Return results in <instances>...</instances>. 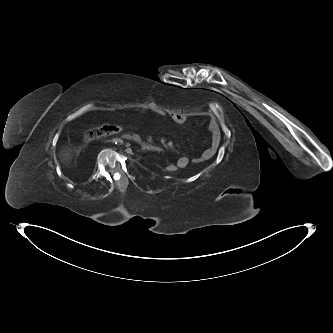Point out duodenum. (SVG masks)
Masks as SVG:
<instances>
[{"label":"duodenum","mask_w":333,"mask_h":333,"mask_svg":"<svg viewBox=\"0 0 333 333\" xmlns=\"http://www.w3.org/2000/svg\"><path fill=\"white\" fill-rule=\"evenodd\" d=\"M123 136L125 138H127V137L128 138H132V137H134L133 141L139 143L140 146H141V148H142V150H144V151H147V152H159L161 150L158 145H155V144H152V143H148V142H144V141L139 140L137 138L138 136L135 133L134 134H132V133H128V134L125 133Z\"/></svg>","instance_id":"duodenum-1"}]
</instances>
